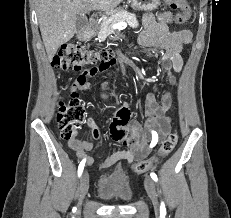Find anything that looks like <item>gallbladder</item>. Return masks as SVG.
Listing matches in <instances>:
<instances>
[{
    "label": "gallbladder",
    "instance_id": "bac80fb5",
    "mask_svg": "<svg viewBox=\"0 0 231 218\" xmlns=\"http://www.w3.org/2000/svg\"><path fill=\"white\" fill-rule=\"evenodd\" d=\"M87 21L85 18L78 16L76 19V30L80 31L86 25Z\"/></svg>",
    "mask_w": 231,
    "mask_h": 218
}]
</instances>
